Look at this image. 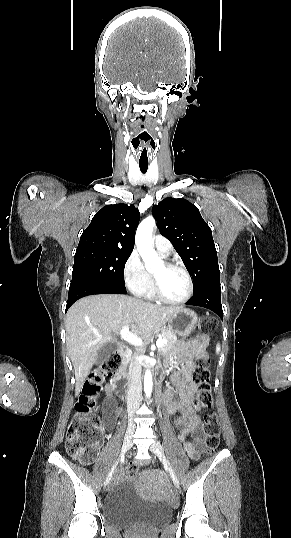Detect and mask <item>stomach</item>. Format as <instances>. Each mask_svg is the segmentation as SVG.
<instances>
[{"label":"stomach","mask_w":291,"mask_h":538,"mask_svg":"<svg viewBox=\"0 0 291 538\" xmlns=\"http://www.w3.org/2000/svg\"><path fill=\"white\" fill-rule=\"evenodd\" d=\"M197 315L188 309L181 308L173 313L168 321V329L175 335L190 334L197 323Z\"/></svg>","instance_id":"1"}]
</instances>
